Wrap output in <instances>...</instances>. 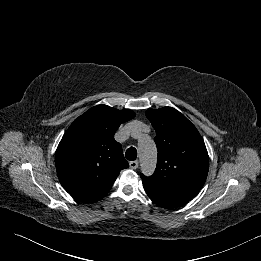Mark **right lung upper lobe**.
<instances>
[{"instance_id": "cb5924a9", "label": "right lung upper lobe", "mask_w": 261, "mask_h": 261, "mask_svg": "<svg viewBox=\"0 0 261 261\" xmlns=\"http://www.w3.org/2000/svg\"><path fill=\"white\" fill-rule=\"evenodd\" d=\"M135 117L132 110L97 105L79 116L63 135L55 155L63 188L86 203L102 199L122 169L128 168L114 134Z\"/></svg>"}]
</instances>
